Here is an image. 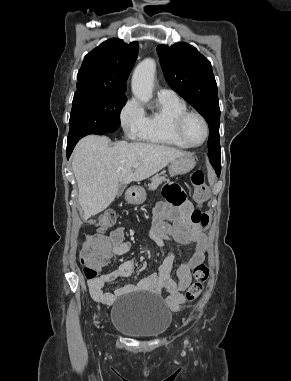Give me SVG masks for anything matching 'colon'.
Segmentation results:
<instances>
[{"label":"colon","instance_id":"colon-1","mask_svg":"<svg viewBox=\"0 0 291 381\" xmlns=\"http://www.w3.org/2000/svg\"><path fill=\"white\" fill-rule=\"evenodd\" d=\"M192 184L195 197L198 201H204L209 195V188L205 182L204 174L196 171L192 175ZM177 190H180L176 188ZM170 201L179 203L180 199L170 196ZM192 222L197 226L205 227L209 222L208 216L199 209L194 210L191 216ZM116 221V213L113 210H106L100 213L94 223L100 232L107 231ZM80 260L84 266V275L87 279L97 277L99 270L105 266L109 260V255L103 251H96L91 247L84 246L80 252ZM209 277V267L205 263L197 264L193 269L194 282L186 292V300H196L203 290V285Z\"/></svg>","mask_w":291,"mask_h":381}]
</instances>
